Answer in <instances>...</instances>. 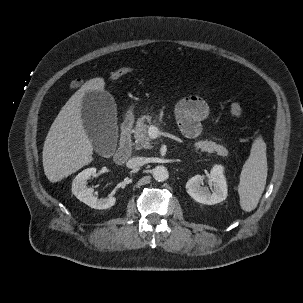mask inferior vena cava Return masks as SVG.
Segmentation results:
<instances>
[{"mask_svg":"<svg viewBox=\"0 0 303 303\" xmlns=\"http://www.w3.org/2000/svg\"><path fill=\"white\" fill-rule=\"evenodd\" d=\"M145 164V158L143 157H135L128 160L126 166L130 169L140 168Z\"/></svg>","mask_w":303,"mask_h":303,"instance_id":"inferior-vena-cava-1","label":"inferior vena cava"}]
</instances>
